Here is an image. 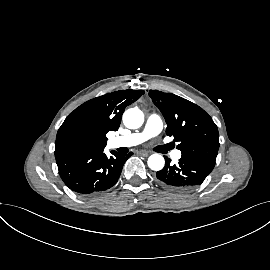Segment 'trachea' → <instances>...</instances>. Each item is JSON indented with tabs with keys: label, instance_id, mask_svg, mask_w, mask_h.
<instances>
[{
	"label": "trachea",
	"instance_id": "obj_1",
	"mask_svg": "<svg viewBox=\"0 0 270 270\" xmlns=\"http://www.w3.org/2000/svg\"><path fill=\"white\" fill-rule=\"evenodd\" d=\"M163 149L169 150L170 149V146L169 145L163 146Z\"/></svg>",
	"mask_w": 270,
	"mask_h": 270
}]
</instances>
